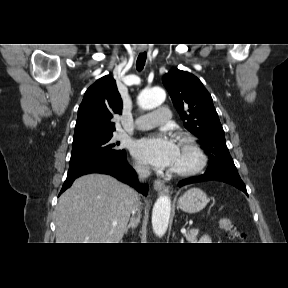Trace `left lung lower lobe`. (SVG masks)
Instances as JSON below:
<instances>
[{
  "instance_id": "0a47b994",
  "label": "left lung lower lobe",
  "mask_w": 288,
  "mask_h": 288,
  "mask_svg": "<svg viewBox=\"0 0 288 288\" xmlns=\"http://www.w3.org/2000/svg\"><path fill=\"white\" fill-rule=\"evenodd\" d=\"M209 180H217L221 182H225L227 184H230L240 190H242L245 194H247L245 184L238 176H229V175H223V174H207L204 173L203 175L197 176V177H191L188 179H184L178 183V185L184 186L186 184L190 183H197V182H203V181H209Z\"/></svg>"
}]
</instances>
